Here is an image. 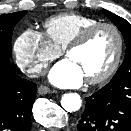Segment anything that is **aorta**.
<instances>
[{"label":"aorta","mask_w":131,"mask_h":131,"mask_svg":"<svg viewBox=\"0 0 131 131\" xmlns=\"http://www.w3.org/2000/svg\"><path fill=\"white\" fill-rule=\"evenodd\" d=\"M61 105L67 112H75L81 108L82 100L77 93H65L62 96Z\"/></svg>","instance_id":"762f6f07"}]
</instances>
